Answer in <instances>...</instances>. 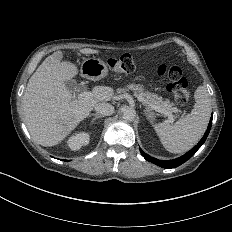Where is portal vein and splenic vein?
I'll return each mask as SVG.
<instances>
[{"mask_svg":"<svg viewBox=\"0 0 232 232\" xmlns=\"http://www.w3.org/2000/svg\"><path fill=\"white\" fill-rule=\"evenodd\" d=\"M93 96H94V94L92 93V92H82V93H80V94H78V98H82V99H91V98H93ZM137 99H138V101H140V102H147L146 101V99L145 98H143L142 96H138L137 97ZM155 111H157V112H161V113H163V111L162 110H160L157 106H155V105H150ZM165 115H167V116H171L172 114L171 113H164ZM171 122H173V120L171 119L170 120Z\"/></svg>","mask_w":232,"mask_h":232,"instance_id":"1","label":"portal vein and splenic vein"}]
</instances>
